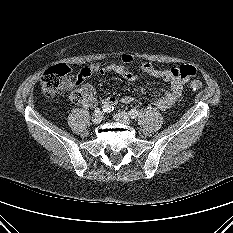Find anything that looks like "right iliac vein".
I'll return each mask as SVG.
<instances>
[{"mask_svg":"<svg viewBox=\"0 0 233 233\" xmlns=\"http://www.w3.org/2000/svg\"><path fill=\"white\" fill-rule=\"evenodd\" d=\"M103 116H104L103 112L101 111L95 112V114L92 116V122L96 125L100 124L101 121L103 120Z\"/></svg>","mask_w":233,"mask_h":233,"instance_id":"1","label":"right iliac vein"}]
</instances>
